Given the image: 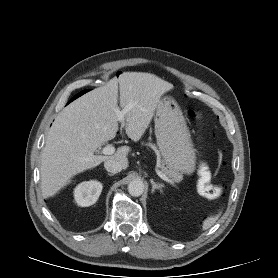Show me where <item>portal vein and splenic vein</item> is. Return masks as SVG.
<instances>
[{
    "label": "portal vein and splenic vein",
    "mask_w": 278,
    "mask_h": 278,
    "mask_svg": "<svg viewBox=\"0 0 278 278\" xmlns=\"http://www.w3.org/2000/svg\"><path fill=\"white\" fill-rule=\"evenodd\" d=\"M131 109V105L126 106L124 109H122L121 111L118 110L117 111V117L119 122L121 123L122 126H124L125 124V114ZM102 154L104 155H112L115 152V147L112 145L106 146L102 149ZM157 175L163 179L164 181H166L167 183H169L170 185L176 187V185L174 184V182L172 180H170L166 175H164L161 171L157 170Z\"/></svg>",
    "instance_id": "1"
}]
</instances>
